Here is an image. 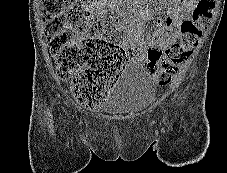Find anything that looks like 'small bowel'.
<instances>
[{
    "label": "small bowel",
    "mask_w": 227,
    "mask_h": 173,
    "mask_svg": "<svg viewBox=\"0 0 227 173\" xmlns=\"http://www.w3.org/2000/svg\"><path fill=\"white\" fill-rule=\"evenodd\" d=\"M198 0H160L167 14L157 18L158 32L147 38L148 45L166 48L179 37L178 27L188 19L189 14L194 10ZM149 11H141L133 19H125L121 27L123 40L119 48L128 54V59L141 60L145 50L144 24L150 18ZM133 48H138V54H129Z\"/></svg>",
    "instance_id": "1"
}]
</instances>
